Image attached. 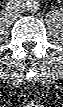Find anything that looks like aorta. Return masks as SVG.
Segmentation results:
<instances>
[{"mask_svg": "<svg viewBox=\"0 0 63 107\" xmlns=\"http://www.w3.org/2000/svg\"><path fill=\"white\" fill-rule=\"evenodd\" d=\"M25 9L29 12H36L39 9V2L37 0H27Z\"/></svg>", "mask_w": 63, "mask_h": 107, "instance_id": "1", "label": "aorta"}]
</instances>
